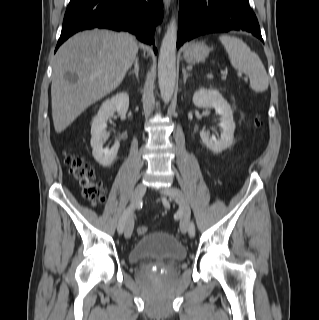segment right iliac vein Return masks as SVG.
<instances>
[{
	"mask_svg": "<svg viewBox=\"0 0 319 320\" xmlns=\"http://www.w3.org/2000/svg\"><path fill=\"white\" fill-rule=\"evenodd\" d=\"M146 192V185L143 183L138 184L132 194V202L138 203L142 199ZM134 228V220L132 216H129L125 225L124 235L126 238H130Z\"/></svg>",
	"mask_w": 319,
	"mask_h": 320,
	"instance_id": "obj_1",
	"label": "right iliac vein"
}]
</instances>
